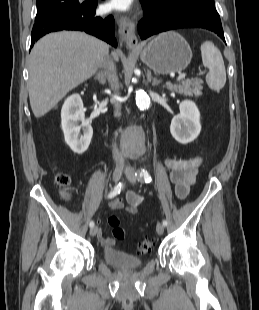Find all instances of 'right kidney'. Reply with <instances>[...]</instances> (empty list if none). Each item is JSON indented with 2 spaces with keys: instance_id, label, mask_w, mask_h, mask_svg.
I'll return each instance as SVG.
<instances>
[{
  "instance_id": "right-kidney-1",
  "label": "right kidney",
  "mask_w": 259,
  "mask_h": 310,
  "mask_svg": "<svg viewBox=\"0 0 259 310\" xmlns=\"http://www.w3.org/2000/svg\"><path fill=\"white\" fill-rule=\"evenodd\" d=\"M61 127L66 144L76 154H83L89 147L93 129L85 119V109L80 95L69 96L61 110Z\"/></svg>"
}]
</instances>
